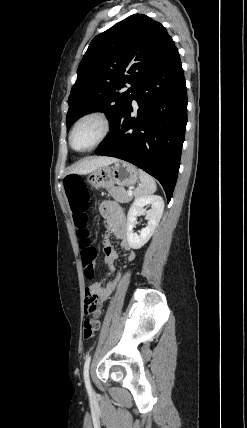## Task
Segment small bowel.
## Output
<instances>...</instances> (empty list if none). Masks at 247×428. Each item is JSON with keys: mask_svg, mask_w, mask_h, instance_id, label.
I'll use <instances>...</instances> for the list:
<instances>
[{"mask_svg": "<svg viewBox=\"0 0 247 428\" xmlns=\"http://www.w3.org/2000/svg\"><path fill=\"white\" fill-rule=\"evenodd\" d=\"M100 213L106 220L110 232L121 241V248L127 252L126 257L130 261L133 260L135 255L128 241V226L124 210L114 201H104L100 205ZM103 252L105 263L109 267V273L101 281L86 286L85 293L87 298L103 299L105 302L116 288L121 273L117 272L115 267L118 254L114 246L106 242Z\"/></svg>", "mask_w": 247, "mask_h": 428, "instance_id": "1", "label": "small bowel"}]
</instances>
